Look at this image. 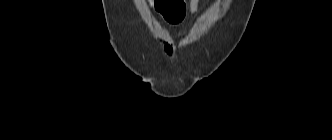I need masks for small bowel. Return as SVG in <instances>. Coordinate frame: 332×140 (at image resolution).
<instances>
[{
    "label": "small bowel",
    "mask_w": 332,
    "mask_h": 140,
    "mask_svg": "<svg viewBox=\"0 0 332 140\" xmlns=\"http://www.w3.org/2000/svg\"><path fill=\"white\" fill-rule=\"evenodd\" d=\"M199 2L200 0H190V3H189V14L192 16V17H195L197 12H198V7H199ZM184 18V16H183ZM177 20V21H169L170 23L172 24H178L180 23L182 20ZM164 50H165V53L172 57L173 54H174V51H175V47H174V44L173 42L170 40V39H166L165 42H164Z\"/></svg>",
    "instance_id": "c3829d8e"
}]
</instances>
